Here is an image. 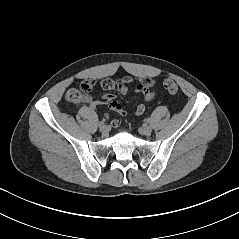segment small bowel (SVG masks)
Segmentation results:
<instances>
[{
    "label": "small bowel",
    "instance_id": "c3829d8e",
    "mask_svg": "<svg viewBox=\"0 0 239 239\" xmlns=\"http://www.w3.org/2000/svg\"><path fill=\"white\" fill-rule=\"evenodd\" d=\"M87 82H91L92 86H95V81L94 80H86L82 84H85ZM133 83V79L129 76L124 77L123 79L119 81H114L112 79H104L101 81L100 85L104 90H114L118 91L123 95H129L132 91L136 93L141 94V101L135 111L134 115L135 116H141L144 114L146 110V103H149L152 101L155 97V91L153 90V86L155 84V80L152 77H147L144 79H141L133 88L130 87V84ZM114 95L111 93H106L103 95L101 101H95L93 100L90 96H88L87 103L89 107L91 108H96L99 105H107L110 110L114 111L115 113L121 115V116H126L127 111L114 99ZM111 125L114 128H117L121 125V120L118 118H115L111 121Z\"/></svg>",
    "mask_w": 239,
    "mask_h": 239
}]
</instances>
